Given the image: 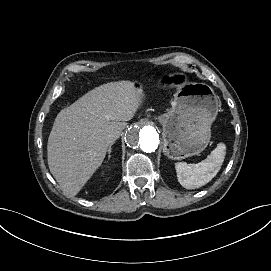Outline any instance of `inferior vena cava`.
Masks as SVG:
<instances>
[{
  "mask_svg": "<svg viewBox=\"0 0 271 271\" xmlns=\"http://www.w3.org/2000/svg\"><path fill=\"white\" fill-rule=\"evenodd\" d=\"M119 136H120V132H116V133H114V134H111V135L109 136V142L115 141L116 139L119 138Z\"/></svg>",
  "mask_w": 271,
  "mask_h": 271,
  "instance_id": "obj_1",
  "label": "inferior vena cava"
}]
</instances>
